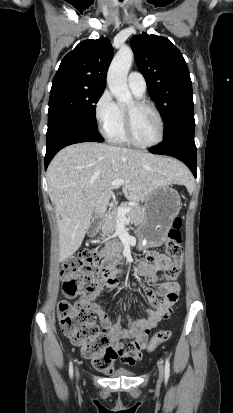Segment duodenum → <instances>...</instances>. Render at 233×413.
Returning <instances> with one entry per match:
<instances>
[{
	"label": "duodenum",
	"mask_w": 233,
	"mask_h": 413,
	"mask_svg": "<svg viewBox=\"0 0 233 413\" xmlns=\"http://www.w3.org/2000/svg\"><path fill=\"white\" fill-rule=\"evenodd\" d=\"M99 228V223H95L92 228L90 233L95 234ZM122 246L120 243H114L112 244L105 252V257L107 260H114L117 258Z\"/></svg>",
	"instance_id": "duodenum-1"
}]
</instances>
